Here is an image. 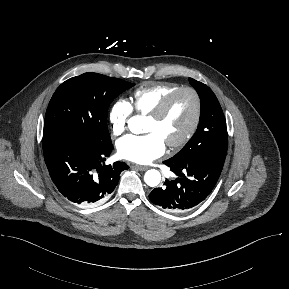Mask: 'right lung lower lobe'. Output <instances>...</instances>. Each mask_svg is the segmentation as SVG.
Returning a JSON list of instances; mask_svg holds the SVG:
<instances>
[{
    "label": "right lung lower lobe",
    "mask_w": 289,
    "mask_h": 289,
    "mask_svg": "<svg viewBox=\"0 0 289 289\" xmlns=\"http://www.w3.org/2000/svg\"><path fill=\"white\" fill-rule=\"evenodd\" d=\"M112 144L91 146L68 140L43 149L50 176L60 193L76 204L100 202L118 184L120 173L128 169L124 162L105 165Z\"/></svg>",
    "instance_id": "1"
}]
</instances>
